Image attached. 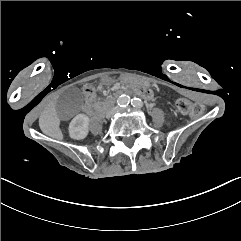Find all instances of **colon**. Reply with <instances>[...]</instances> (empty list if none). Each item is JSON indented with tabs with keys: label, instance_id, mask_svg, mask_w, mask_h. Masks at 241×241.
Instances as JSON below:
<instances>
[{
	"label": "colon",
	"instance_id": "1",
	"mask_svg": "<svg viewBox=\"0 0 241 241\" xmlns=\"http://www.w3.org/2000/svg\"><path fill=\"white\" fill-rule=\"evenodd\" d=\"M177 109L183 114L200 117L204 113V106L201 103L192 104L188 100L180 99L177 101Z\"/></svg>",
	"mask_w": 241,
	"mask_h": 241
}]
</instances>
